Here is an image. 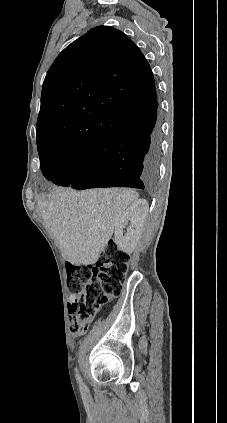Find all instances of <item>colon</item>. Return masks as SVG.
I'll return each instance as SVG.
<instances>
[{"instance_id":"colon-1","label":"colon","mask_w":227,"mask_h":423,"mask_svg":"<svg viewBox=\"0 0 227 423\" xmlns=\"http://www.w3.org/2000/svg\"><path fill=\"white\" fill-rule=\"evenodd\" d=\"M129 263V254L110 242L96 265H68L69 327L73 333L85 332L101 306L121 294Z\"/></svg>"}]
</instances>
